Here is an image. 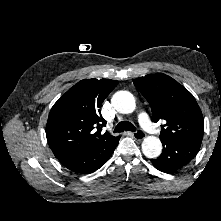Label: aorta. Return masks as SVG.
<instances>
[{
  "label": "aorta",
  "instance_id": "aorta-1",
  "mask_svg": "<svg viewBox=\"0 0 221 221\" xmlns=\"http://www.w3.org/2000/svg\"><path fill=\"white\" fill-rule=\"evenodd\" d=\"M113 107L120 113L129 114L135 110L134 96L128 91H118L111 99ZM142 152L147 158L155 159L162 152V143L158 137L148 136L142 142Z\"/></svg>",
  "mask_w": 221,
  "mask_h": 221
}]
</instances>
